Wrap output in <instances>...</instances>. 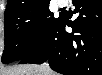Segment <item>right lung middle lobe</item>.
<instances>
[{
  "label": "right lung middle lobe",
  "instance_id": "1",
  "mask_svg": "<svg viewBox=\"0 0 102 75\" xmlns=\"http://www.w3.org/2000/svg\"><path fill=\"white\" fill-rule=\"evenodd\" d=\"M61 17L53 16L49 3L34 10L6 15L5 47L1 61L12 63L26 57L46 40Z\"/></svg>",
  "mask_w": 102,
  "mask_h": 75
}]
</instances>
